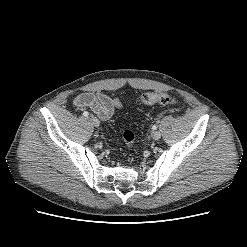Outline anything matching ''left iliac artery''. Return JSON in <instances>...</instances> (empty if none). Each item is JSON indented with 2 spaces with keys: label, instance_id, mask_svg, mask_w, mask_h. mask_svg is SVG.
I'll return each mask as SVG.
<instances>
[{
  "label": "left iliac artery",
  "instance_id": "obj_1",
  "mask_svg": "<svg viewBox=\"0 0 247 247\" xmlns=\"http://www.w3.org/2000/svg\"><path fill=\"white\" fill-rule=\"evenodd\" d=\"M157 127H158L157 125H153V126H152V129H153V130H156Z\"/></svg>",
  "mask_w": 247,
  "mask_h": 247
}]
</instances>
